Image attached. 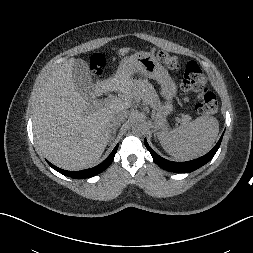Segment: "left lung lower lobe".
<instances>
[{
	"label": "left lung lower lobe",
	"mask_w": 253,
	"mask_h": 253,
	"mask_svg": "<svg viewBox=\"0 0 253 253\" xmlns=\"http://www.w3.org/2000/svg\"><path fill=\"white\" fill-rule=\"evenodd\" d=\"M222 137H223V134H222L221 138L219 139V141L217 142V144L214 146V148L209 153H207L206 155H204L198 159L191 160L188 162L168 161V160L162 158L161 156H159L157 153H155L152 150V148L148 145L146 139L144 140V142H145L146 148L148 149V151L152 155L154 161L161 168H163L167 171L175 172V173H189V172H192V171L200 168L201 166L205 165L213 158V156L215 155V153L217 152V150L221 144Z\"/></svg>",
	"instance_id": "1"
}]
</instances>
